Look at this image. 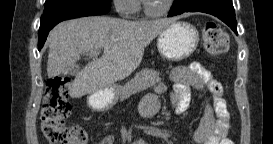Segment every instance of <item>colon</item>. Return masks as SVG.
Masks as SVG:
<instances>
[{
    "mask_svg": "<svg viewBox=\"0 0 273 144\" xmlns=\"http://www.w3.org/2000/svg\"><path fill=\"white\" fill-rule=\"evenodd\" d=\"M203 41L211 56L226 52L229 41L224 30L213 21H206L203 27ZM69 79L58 77L48 81L41 110V129L51 144H83L86 132L79 126H68L66 118L71 113L68 101Z\"/></svg>",
    "mask_w": 273,
    "mask_h": 144,
    "instance_id": "5ec220e1",
    "label": "colon"
}]
</instances>
